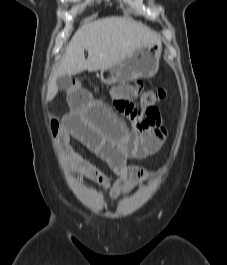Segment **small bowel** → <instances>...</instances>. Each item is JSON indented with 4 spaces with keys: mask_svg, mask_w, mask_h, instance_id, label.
Masks as SVG:
<instances>
[{
    "mask_svg": "<svg viewBox=\"0 0 227 265\" xmlns=\"http://www.w3.org/2000/svg\"><path fill=\"white\" fill-rule=\"evenodd\" d=\"M123 86H133L135 92L141 81H123ZM67 104L72 111L62 120L61 141L65 145L72 173L80 180L92 181L104 191L110 200L129 194L136 185L146 179L147 173L139 166L128 163L129 159L142 160L154 155L164 144L167 131L159 126L144 132L129 130L114 117L104 103L95 100L84 87H69ZM113 108L118 112H136L131 99H114ZM70 137L85 145L104 160L118 178L83 159L68 147Z\"/></svg>",
    "mask_w": 227,
    "mask_h": 265,
    "instance_id": "c3829d8e",
    "label": "small bowel"
}]
</instances>
